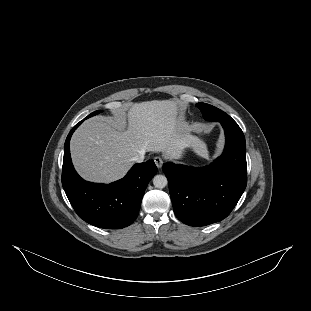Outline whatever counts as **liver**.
Listing matches in <instances>:
<instances>
[{"label":"liver","mask_w":311,"mask_h":311,"mask_svg":"<svg viewBox=\"0 0 311 311\" xmlns=\"http://www.w3.org/2000/svg\"><path fill=\"white\" fill-rule=\"evenodd\" d=\"M108 125L93 118L75 132L71 141L74 165L87 180L111 182L126 173L132 158L148 151H162L167 157L181 158L186 150L201 151L198 139L175 122L170 101L135 104ZM129 122V124H127Z\"/></svg>","instance_id":"1"}]
</instances>
